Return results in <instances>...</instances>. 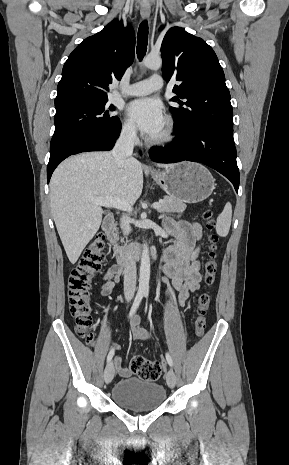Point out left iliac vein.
I'll return each instance as SVG.
<instances>
[{
  "instance_id": "1",
  "label": "left iliac vein",
  "mask_w": 289,
  "mask_h": 465,
  "mask_svg": "<svg viewBox=\"0 0 289 465\" xmlns=\"http://www.w3.org/2000/svg\"><path fill=\"white\" fill-rule=\"evenodd\" d=\"M166 381L170 388H174L176 384V375L172 369H169L166 374Z\"/></svg>"
}]
</instances>
